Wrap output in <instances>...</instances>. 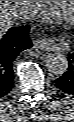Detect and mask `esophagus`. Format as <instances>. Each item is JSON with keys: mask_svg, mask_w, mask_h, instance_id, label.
<instances>
[{"mask_svg": "<svg viewBox=\"0 0 74 122\" xmlns=\"http://www.w3.org/2000/svg\"><path fill=\"white\" fill-rule=\"evenodd\" d=\"M34 49L48 51L50 49V42L47 39L36 40L33 43Z\"/></svg>", "mask_w": 74, "mask_h": 122, "instance_id": "esophagus-1", "label": "esophagus"}]
</instances>
